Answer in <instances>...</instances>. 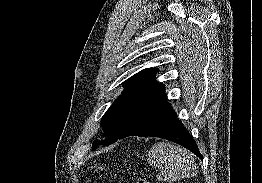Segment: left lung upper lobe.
Returning a JSON list of instances; mask_svg holds the SVG:
<instances>
[{
    "label": "left lung upper lobe",
    "mask_w": 262,
    "mask_h": 183,
    "mask_svg": "<svg viewBox=\"0 0 262 183\" xmlns=\"http://www.w3.org/2000/svg\"><path fill=\"white\" fill-rule=\"evenodd\" d=\"M156 71V68L144 69L126 81L124 91L101 120L106 141H94L93 149L99 144L106 146L137 132L167 101L164 85L154 77Z\"/></svg>",
    "instance_id": "1"
}]
</instances>
